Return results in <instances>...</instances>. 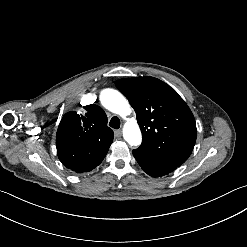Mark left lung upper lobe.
Listing matches in <instances>:
<instances>
[{
  "label": "left lung upper lobe",
  "mask_w": 247,
  "mask_h": 247,
  "mask_svg": "<svg viewBox=\"0 0 247 247\" xmlns=\"http://www.w3.org/2000/svg\"><path fill=\"white\" fill-rule=\"evenodd\" d=\"M115 85L136 112L143 137L139 149L182 165L190 156L197 136L194 116L185 101L154 77L120 79Z\"/></svg>",
  "instance_id": "5c2ea615"
}]
</instances>
